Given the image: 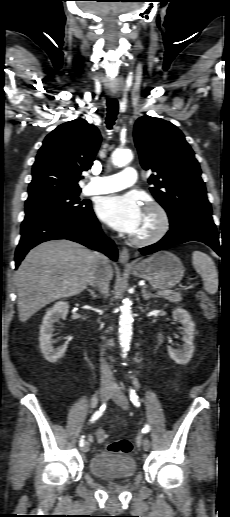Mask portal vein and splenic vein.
Masks as SVG:
<instances>
[{
	"label": "portal vein and splenic vein",
	"mask_w": 230,
	"mask_h": 517,
	"mask_svg": "<svg viewBox=\"0 0 230 517\" xmlns=\"http://www.w3.org/2000/svg\"><path fill=\"white\" fill-rule=\"evenodd\" d=\"M169 292H171V291H170V290H166V291H158V292H157V294H158V295H164V294L169 293Z\"/></svg>",
	"instance_id": "1"
}]
</instances>
